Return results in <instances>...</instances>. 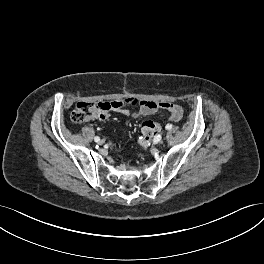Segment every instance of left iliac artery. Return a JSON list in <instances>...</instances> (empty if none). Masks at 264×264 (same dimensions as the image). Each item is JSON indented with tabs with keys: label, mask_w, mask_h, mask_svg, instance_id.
Here are the masks:
<instances>
[{
	"label": "left iliac artery",
	"mask_w": 264,
	"mask_h": 264,
	"mask_svg": "<svg viewBox=\"0 0 264 264\" xmlns=\"http://www.w3.org/2000/svg\"><path fill=\"white\" fill-rule=\"evenodd\" d=\"M167 130H171L172 129V124H167L165 127Z\"/></svg>",
	"instance_id": "44dca946"
}]
</instances>
